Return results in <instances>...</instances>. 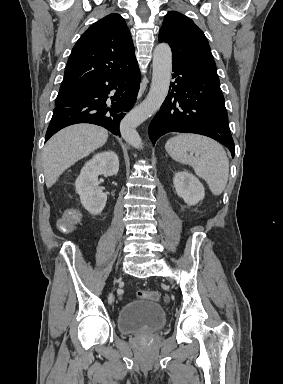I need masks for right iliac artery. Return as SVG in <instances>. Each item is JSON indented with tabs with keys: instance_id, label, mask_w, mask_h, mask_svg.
<instances>
[{
	"instance_id": "82829eb1",
	"label": "right iliac artery",
	"mask_w": 283,
	"mask_h": 384,
	"mask_svg": "<svg viewBox=\"0 0 283 384\" xmlns=\"http://www.w3.org/2000/svg\"><path fill=\"white\" fill-rule=\"evenodd\" d=\"M108 301H109V303H112V301H113V296H112V294L109 295V297H108Z\"/></svg>"
}]
</instances>
